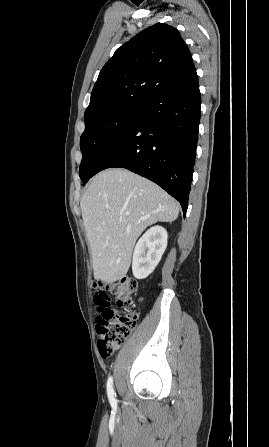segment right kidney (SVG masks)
<instances>
[{
	"mask_svg": "<svg viewBox=\"0 0 269 447\" xmlns=\"http://www.w3.org/2000/svg\"><path fill=\"white\" fill-rule=\"evenodd\" d=\"M168 233L162 225L149 227L138 239L132 259V271L137 279H144L159 263L166 247Z\"/></svg>",
	"mask_w": 269,
	"mask_h": 447,
	"instance_id": "ca27d5eb",
	"label": "right kidney"
}]
</instances>
